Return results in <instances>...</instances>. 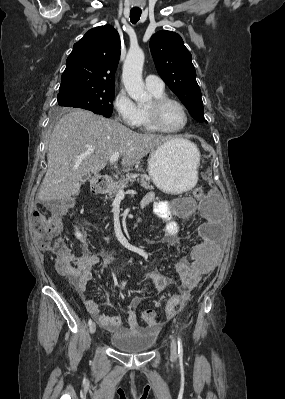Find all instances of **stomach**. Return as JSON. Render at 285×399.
I'll return each mask as SVG.
<instances>
[{"instance_id": "0dacf381", "label": "stomach", "mask_w": 285, "mask_h": 399, "mask_svg": "<svg viewBox=\"0 0 285 399\" xmlns=\"http://www.w3.org/2000/svg\"><path fill=\"white\" fill-rule=\"evenodd\" d=\"M200 152L183 139L167 141L154 149L148 159V173L153 183L165 193L181 194L197 182Z\"/></svg>"}]
</instances>
